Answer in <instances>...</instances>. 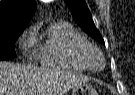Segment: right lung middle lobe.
I'll list each match as a JSON object with an SVG mask.
<instances>
[{"label": "right lung middle lobe", "instance_id": "1", "mask_svg": "<svg viewBox=\"0 0 135 95\" xmlns=\"http://www.w3.org/2000/svg\"><path fill=\"white\" fill-rule=\"evenodd\" d=\"M22 32L19 30L0 35V61L15 58L14 44Z\"/></svg>", "mask_w": 135, "mask_h": 95}]
</instances>
